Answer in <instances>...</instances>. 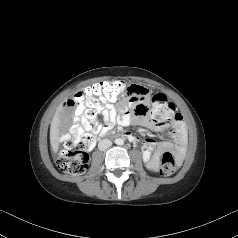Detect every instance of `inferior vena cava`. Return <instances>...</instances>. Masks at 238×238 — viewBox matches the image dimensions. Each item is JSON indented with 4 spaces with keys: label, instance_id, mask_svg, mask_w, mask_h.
I'll list each match as a JSON object with an SVG mask.
<instances>
[{
    "label": "inferior vena cava",
    "instance_id": "602c4592",
    "mask_svg": "<svg viewBox=\"0 0 238 238\" xmlns=\"http://www.w3.org/2000/svg\"><path fill=\"white\" fill-rule=\"evenodd\" d=\"M111 145H112V142L109 139H102L98 143V148H99V150L103 151V150L108 149Z\"/></svg>",
    "mask_w": 238,
    "mask_h": 238
}]
</instances>
